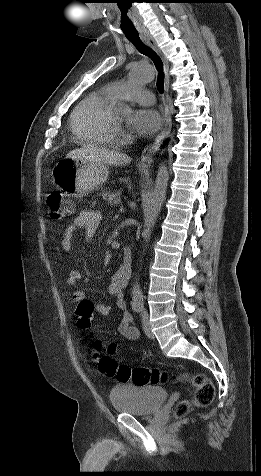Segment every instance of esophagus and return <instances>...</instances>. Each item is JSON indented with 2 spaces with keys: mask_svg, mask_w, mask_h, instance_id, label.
I'll use <instances>...</instances> for the list:
<instances>
[{
  "mask_svg": "<svg viewBox=\"0 0 261 476\" xmlns=\"http://www.w3.org/2000/svg\"><path fill=\"white\" fill-rule=\"evenodd\" d=\"M141 38L143 42L146 45H148L150 48H152L161 57L163 61V68H164V75H165L164 88H165V97H166L163 128L161 129L160 133L155 138V140L152 143L148 144L142 152L141 164L146 166V165H150L153 162V158L156 151L158 150V148L160 147L161 143L166 138V136L170 133L171 127H172V120H171V114L168 107V91H169V83H170L169 64L164 58V56L162 55L159 48L157 47L154 38L149 33L142 34Z\"/></svg>",
  "mask_w": 261,
  "mask_h": 476,
  "instance_id": "1",
  "label": "esophagus"
}]
</instances>
